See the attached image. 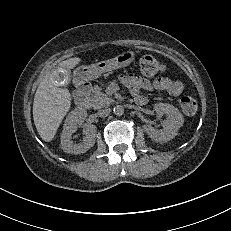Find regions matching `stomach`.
<instances>
[{
	"label": "stomach",
	"instance_id": "1",
	"mask_svg": "<svg viewBox=\"0 0 231 231\" xmlns=\"http://www.w3.org/2000/svg\"><path fill=\"white\" fill-rule=\"evenodd\" d=\"M134 59L135 53L133 51H126L112 59L100 61L89 66L83 65L78 67L75 70V77H77L80 82L93 80L101 76L103 73L128 66L134 61Z\"/></svg>",
	"mask_w": 231,
	"mask_h": 231
}]
</instances>
